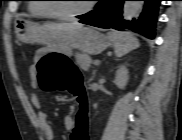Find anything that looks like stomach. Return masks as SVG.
I'll list each match as a JSON object with an SVG mask.
<instances>
[{
    "label": "stomach",
    "instance_id": "stomach-1",
    "mask_svg": "<svg viewBox=\"0 0 182 140\" xmlns=\"http://www.w3.org/2000/svg\"><path fill=\"white\" fill-rule=\"evenodd\" d=\"M17 38L24 43H44L50 51L71 55L72 49L87 54H99L109 45L107 36L94 27H81L72 31H46L38 24L19 18L15 22Z\"/></svg>",
    "mask_w": 182,
    "mask_h": 140
}]
</instances>
